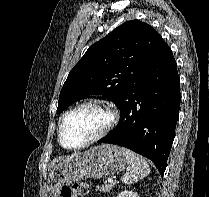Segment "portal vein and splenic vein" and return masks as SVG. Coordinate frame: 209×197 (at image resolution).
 Returning a JSON list of instances; mask_svg holds the SVG:
<instances>
[{"mask_svg":"<svg viewBox=\"0 0 209 197\" xmlns=\"http://www.w3.org/2000/svg\"><path fill=\"white\" fill-rule=\"evenodd\" d=\"M108 183L112 184V183H114V180L112 178H109Z\"/></svg>","mask_w":209,"mask_h":197,"instance_id":"18ae733b","label":"portal vein and splenic vein"}]
</instances>
